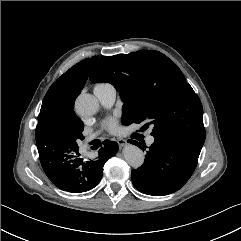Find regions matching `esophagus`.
I'll return each instance as SVG.
<instances>
[{"mask_svg":"<svg viewBox=\"0 0 241 241\" xmlns=\"http://www.w3.org/2000/svg\"><path fill=\"white\" fill-rule=\"evenodd\" d=\"M117 143H118L119 147H124L127 144L126 140L123 138H118Z\"/></svg>","mask_w":241,"mask_h":241,"instance_id":"esophagus-1","label":"esophagus"}]
</instances>
